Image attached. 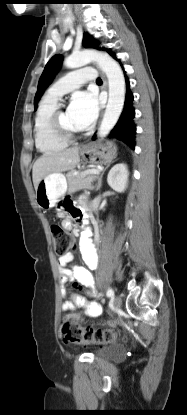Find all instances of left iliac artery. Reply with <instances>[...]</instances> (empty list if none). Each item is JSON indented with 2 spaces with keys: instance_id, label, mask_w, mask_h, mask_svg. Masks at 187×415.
Wrapping results in <instances>:
<instances>
[{
  "instance_id": "obj_1",
  "label": "left iliac artery",
  "mask_w": 187,
  "mask_h": 415,
  "mask_svg": "<svg viewBox=\"0 0 187 415\" xmlns=\"http://www.w3.org/2000/svg\"><path fill=\"white\" fill-rule=\"evenodd\" d=\"M106 295H107V297H113V296H114V291H113V289H112V288H109V289L107 290Z\"/></svg>"
}]
</instances>
